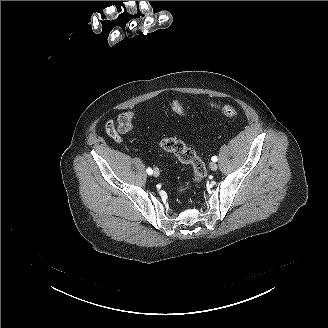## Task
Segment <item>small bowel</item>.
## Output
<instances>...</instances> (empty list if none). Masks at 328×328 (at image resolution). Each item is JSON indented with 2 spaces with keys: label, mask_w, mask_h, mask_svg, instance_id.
I'll return each mask as SVG.
<instances>
[{
  "label": "small bowel",
  "mask_w": 328,
  "mask_h": 328,
  "mask_svg": "<svg viewBox=\"0 0 328 328\" xmlns=\"http://www.w3.org/2000/svg\"><path fill=\"white\" fill-rule=\"evenodd\" d=\"M113 125V122L112 121H109L107 124H106V130L108 129V127H111Z\"/></svg>",
  "instance_id": "small-bowel-1"
}]
</instances>
